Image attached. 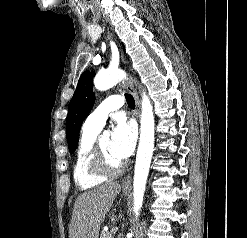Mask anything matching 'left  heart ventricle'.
Segmentation results:
<instances>
[{
    "label": "left heart ventricle",
    "instance_id": "left-heart-ventricle-1",
    "mask_svg": "<svg viewBox=\"0 0 247 238\" xmlns=\"http://www.w3.org/2000/svg\"><path fill=\"white\" fill-rule=\"evenodd\" d=\"M100 146L105 154V156L107 157L108 161L112 164V165H119L122 160L120 158H118L111 147V139L110 138H104L100 141Z\"/></svg>",
    "mask_w": 247,
    "mask_h": 238
}]
</instances>
